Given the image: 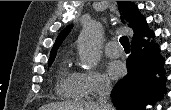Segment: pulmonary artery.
<instances>
[{
  "label": "pulmonary artery",
  "mask_w": 171,
  "mask_h": 110,
  "mask_svg": "<svg viewBox=\"0 0 171 110\" xmlns=\"http://www.w3.org/2000/svg\"><path fill=\"white\" fill-rule=\"evenodd\" d=\"M105 53L109 57L116 58L121 56L122 48L117 41H109L105 46Z\"/></svg>",
  "instance_id": "pulmonary-artery-1"
}]
</instances>
